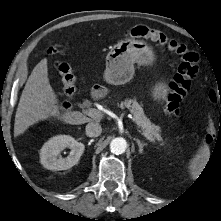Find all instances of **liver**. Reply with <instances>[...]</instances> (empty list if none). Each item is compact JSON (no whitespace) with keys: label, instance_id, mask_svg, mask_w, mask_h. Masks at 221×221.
I'll return each mask as SVG.
<instances>
[{"label":"liver","instance_id":"liver-1","mask_svg":"<svg viewBox=\"0 0 221 221\" xmlns=\"http://www.w3.org/2000/svg\"><path fill=\"white\" fill-rule=\"evenodd\" d=\"M60 109L59 100L49 82L47 59L44 58L34 67L21 94L15 115L14 136L23 134L39 121L53 117L71 125L94 121L79 111L60 114Z\"/></svg>","mask_w":221,"mask_h":221}]
</instances>
